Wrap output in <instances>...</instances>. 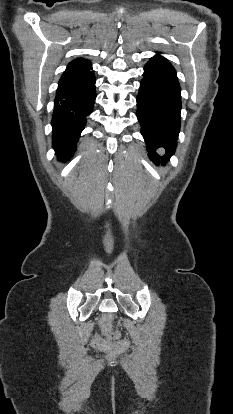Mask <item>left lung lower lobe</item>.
<instances>
[{
    "mask_svg": "<svg viewBox=\"0 0 233 414\" xmlns=\"http://www.w3.org/2000/svg\"><path fill=\"white\" fill-rule=\"evenodd\" d=\"M137 96V118L150 159L166 163L174 154L180 131L181 89L176 71L164 57L156 55L144 67ZM158 149H164L160 156Z\"/></svg>",
    "mask_w": 233,
    "mask_h": 414,
    "instance_id": "obj_1",
    "label": "left lung lower lobe"
}]
</instances>
